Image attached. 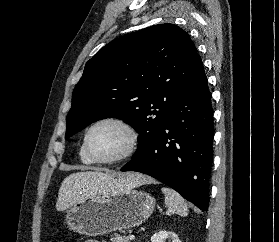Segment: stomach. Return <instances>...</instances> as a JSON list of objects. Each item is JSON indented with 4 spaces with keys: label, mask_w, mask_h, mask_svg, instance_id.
Here are the masks:
<instances>
[{
    "label": "stomach",
    "mask_w": 279,
    "mask_h": 242,
    "mask_svg": "<svg viewBox=\"0 0 279 242\" xmlns=\"http://www.w3.org/2000/svg\"><path fill=\"white\" fill-rule=\"evenodd\" d=\"M155 198L137 189H117L91 195L67 210L69 230L87 236H102L141 225L154 211Z\"/></svg>",
    "instance_id": "0dacf381"
}]
</instances>
